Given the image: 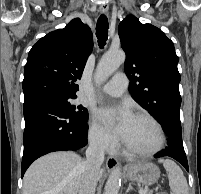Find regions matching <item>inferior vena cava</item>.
<instances>
[{
    "mask_svg": "<svg viewBox=\"0 0 201 194\" xmlns=\"http://www.w3.org/2000/svg\"><path fill=\"white\" fill-rule=\"evenodd\" d=\"M106 143L102 139L90 141L86 150V160L83 162L84 172L82 174L79 194H95L97 175L104 161Z\"/></svg>",
    "mask_w": 201,
    "mask_h": 194,
    "instance_id": "602c4592",
    "label": "inferior vena cava"
}]
</instances>
